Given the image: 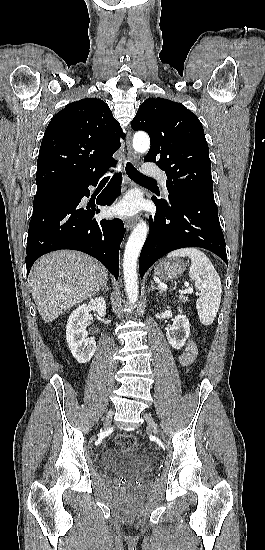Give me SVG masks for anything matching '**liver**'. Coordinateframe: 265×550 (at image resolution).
Wrapping results in <instances>:
<instances>
[{"label":"liver","mask_w":265,"mask_h":550,"mask_svg":"<svg viewBox=\"0 0 265 550\" xmlns=\"http://www.w3.org/2000/svg\"><path fill=\"white\" fill-rule=\"evenodd\" d=\"M105 267L93 257L71 250L54 251L32 267L30 286L38 312L52 322L94 296L107 281Z\"/></svg>","instance_id":"obj_1"}]
</instances>
